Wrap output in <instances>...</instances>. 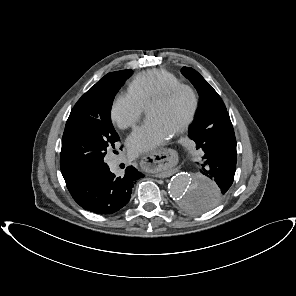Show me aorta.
<instances>
[{
  "mask_svg": "<svg viewBox=\"0 0 296 296\" xmlns=\"http://www.w3.org/2000/svg\"><path fill=\"white\" fill-rule=\"evenodd\" d=\"M217 184L203 175L178 173L172 177L168 192L177 206L189 214L209 211L217 199Z\"/></svg>",
  "mask_w": 296,
  "mask_h": 296,
  "instance_id": "762f6f07",
  "label": "aorta"
}]
</instances>
